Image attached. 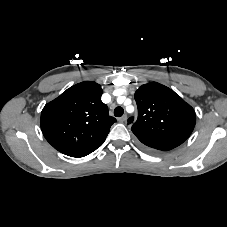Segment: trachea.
Masks as SVG:
<instances>
[{
    "mask_svg": "<svg viewBox=\"0 0 227 227\" xmlns=\"http://www.w3.org/2000/svg\"><path fill=\"white\" fill-rule=\"evenodd\" d=\"M124 113V110L122 107H116L115 110H114V115L116 117H121Z\"/></svg>",
    "mask_w": 227,
    "mask_h": 227,
    "instance_id": "3493384b",
    "label": "trachea"
}]
</instances>
